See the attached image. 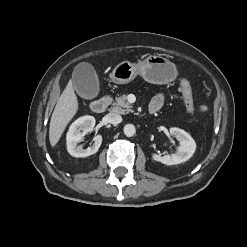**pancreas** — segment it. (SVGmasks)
<instances>
[{"instance_id": "pancreas-1", "label": "pancreas", "mask_w": 247, "mask_h": 247, "mask_svg": "<svg viewBox=\"0 0 247 247\" xmlns=\"http://www.w3.org/2000/svg\"><path fill=\"white\" fill-rule=\"evenodd\" d=\"M111 111L119 114H125L133 112L132 105L127 102L126 95H122L115 99V102L112 104Z\"/></svg>"}]
</instances>
